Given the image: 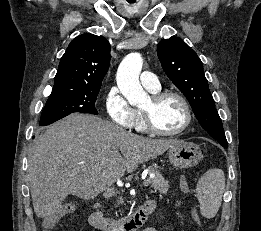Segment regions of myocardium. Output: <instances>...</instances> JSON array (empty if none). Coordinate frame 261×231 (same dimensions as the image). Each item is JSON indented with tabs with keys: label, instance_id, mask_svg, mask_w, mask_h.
<instances>
[{
	"label": "myocardium",
	"instance_id": "myocardium-1",
	"mask_svg": "<svg viewBox=\"0 0 261 231\" xmlns=\"http://www.w3.org/2000/svg\"><path fill=\"white\" fill-rule=\"evenodd\" d=\"M170 97L178 99L183 106L185 112V121L183 125L175 131H163L160 128H158L157 125L155 124L152 110L141 109L144 125L149 132L159 136H176L182 134L184 131H186L189 128L192 122V110L189 102L183 95L174 91H163V92L154 93L150 97V99L153 106H156L163 100Z\"/></svg>",
	"mask_w": 261,
	"mask_h": 231
}]
</instances>
